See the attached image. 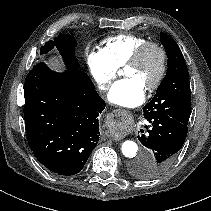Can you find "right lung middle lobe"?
Here are the masks:
<instances>
[{
    "label": "right lung middle lobe",
    "mask_w": 211,
    "mask_h": 211,
    "mask_svg": "<svg viewBox=\"0 0 211 211\" xmlns=\"http://www.w3.org/2000/svg\"><path fill=\"white\" fill-rule=\"evenodd\" d=\"M54 46L58 49L60 54L71 61L78 63L75 57L74 48L76 46L75 38L71 35L59 34L54 38V41L47 42L40 50V53H47L53 49Z\"/></svg>",
    "instance_id": "right-lung-middle-lobe-1"
}]
</instances>
